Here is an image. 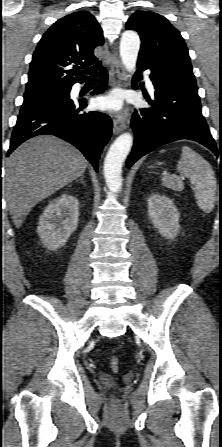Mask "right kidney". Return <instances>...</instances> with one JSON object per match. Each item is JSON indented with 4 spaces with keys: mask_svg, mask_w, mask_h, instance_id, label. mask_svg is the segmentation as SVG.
Wrapping results in <instances>:
<instances>
[{
    "mask_svg": "<svg viewBox=\"0 0 222 447\" xmlns=\"http://www.w3.org/2000/svg\"><path fill=\"white\" fill-rule=\"evenodd\" d=\"M79 202L72 195L63 194L51 202L39 219L37 233L44 246L56 250L63 246L77 229Z\"/></svg>",
    "mask_w": 222,
    "mask_h": 447,
    "instance_id": "obj_1",
    "label": "right kidney"
}]
</instances>
